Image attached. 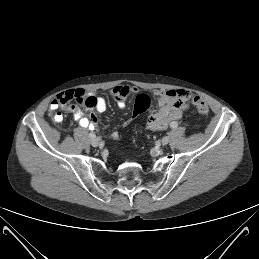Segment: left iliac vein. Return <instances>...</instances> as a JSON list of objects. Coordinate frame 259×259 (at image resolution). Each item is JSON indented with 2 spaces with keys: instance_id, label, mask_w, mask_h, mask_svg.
<instances>
[{
  "instance_id": "left-iliac-vein-1",
  "label": "left iliac vein",
  "mask_w": 259,
  "mask_h": 259,
  "mask_svg": "<svg viewBox=\"0 0 259 259\" xmlns=\"http://www.w3.org/2000/svg\"><path fill=\"white\" fill-rule=\"evenodd\" d=\"M161 143L163 146L167 145L169 143V137L165 136L162 138Z\"/></svg>"
}]
</instances>
